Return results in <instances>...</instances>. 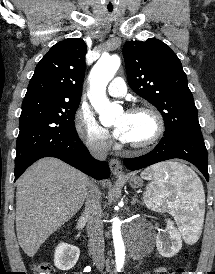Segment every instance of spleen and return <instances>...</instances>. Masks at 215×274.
Wrapping results in <instances>:
<instances>
[{
    "mask_svg": "<svg viewBox=\"0 0 215 274\" xmlns=\"http://www.w3.org/2000/svg\"><path fill=\"white\" fill-rule=\"evenodd\" d=\"M152 179L146 187L144 202L149 209L169 212L188 242L196 241L205 213V193L200 179L185 165L160 163L141 172Z\"/></svg>",
    "mask_w": 215,
    "mask_h": 274,
    "instance_id": "obj_1",
    "label": "spleen"
}]
</instances>
